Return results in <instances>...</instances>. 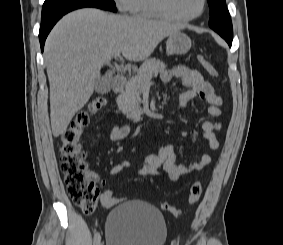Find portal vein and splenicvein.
<instances>
[{
  "label": "portal vein and splenic vein",
  "instance_id": "portal-vein-and-splenic-vein-1",
  "mask_svg": "<svg viewBox=\"0 0 283 245\" xmlns=\"http://www.w3.org/2000/svg\"><path fill=\"white\" fill-rule=\"evenodd\" d=\"M120 56V52L116 53L115 57H119ZM149 80L146 81V83H148Z\"/></svg>",
  "mask_w": 283,
  "mask_h": 245
}]
</instances>
